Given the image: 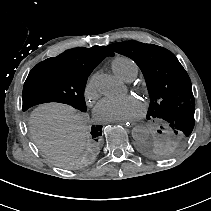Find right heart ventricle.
Returning <instances> with one entry per match:
<instances>
[{
  "label": "right heart ventricle",
  "mask_w": 211,
  "mask_h": 211,
  "mask_svg": "<svg viewBox=\"0 0 211 211\" xmlns=\"http://www.w3.org/2000/svg\"><path fill=\"white\" fill-rule=\"evenodd\" d=\"M113 71L123 80L132 81L138 74L139 68L135 60L128 56H117L111 63Z\"/></svg>",
  "instance_id": "obj_1"
}]
</instances>
